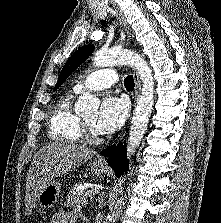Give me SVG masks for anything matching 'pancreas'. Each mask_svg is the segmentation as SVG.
<instances>
[{"label":"pancreas","instance_id":"cf45deb5","mask_svg":"<svg viewBox=\"0 0 221 223\" xmlns=\"http://www.w3.org/2000/svg\"><path fill=\"white\" fill-rule=\"evenodd\" d=\"M80 186V183L76 184L68 194V197L66 198V202L64 205L67 208H81L88 204L87 200V192L89 190L82 189V190H77V188Z\"/></svg>","mask_w":221,"mask_h":223}]
</instances>
